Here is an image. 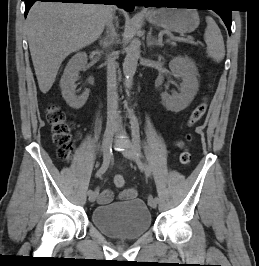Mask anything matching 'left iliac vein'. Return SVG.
Listing matches in <instances>:
<instances>
[{
	"label": "left iliac vein",
	"mask_w": 259,
	"mask_h": 266,
	"mask_svg": "<svg viewBox=\"0 0 259 266\" xmlns=\"http://www.w3.org/2000/svg\"><path fill=\"white\" fill-rule=\"evenodd\" d=\"M117 132L125 137V143H124L123 151H122L123 155L139 164L140 160L135 150V147L134 145L131 144V142L127 138V135H126V132L123 126H119V128L117 129ZM148 204L152 208L157 207V203H155V198H153L152 200H148Z\"/></svg>",
	"instance_id": "1"
}]
</instances>
